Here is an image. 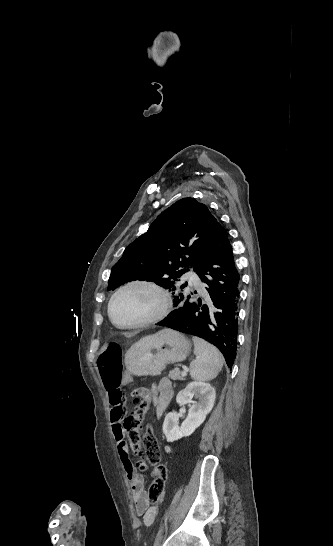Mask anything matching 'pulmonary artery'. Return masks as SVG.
<instances>
[{
  "instance_id": "pulmonary-artery-1",
  "label": "pulmonary artery",
  "mask_w": 333,
  "mask_h": 546,
  "mask_svg": "<svg viewBox=\"0 0 333 546\" xmlns=\"http://www.w3.org/2000/svg\"><path fill=\"white\" fill-rule=\"evenodd\" d=\"M185 278L186 279H189L191 280L195 285L197 286H200L201 285V282H200V279L198 278V276L194 273H187L185 275Z\"/></svg>"
}]
</instances>
